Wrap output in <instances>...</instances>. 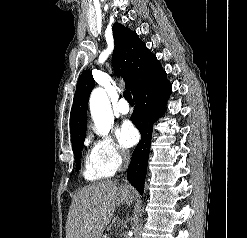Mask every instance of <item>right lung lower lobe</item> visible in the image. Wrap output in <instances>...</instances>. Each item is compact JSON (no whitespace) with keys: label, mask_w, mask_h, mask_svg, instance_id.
<instances>
[{"label":"right lung lower lobe","mask_w":247,"mask_h":238,"mask_svg":"<svg viewBox=\"0 0 247 238\" xmlns=\"http://www.w3.org/2000/svg\"><path fill=\"white\" fill-rule=\"evenodd\" d=\"M171 93V85L162 70L150 83L133 95L136 106L131 117L141 134L127 172V179L143 194L147 161L150 152L153 123L165 111V105Z\"/></svg>","instance_id":"right-lung-lower-lobe-1"}]
</instances>
